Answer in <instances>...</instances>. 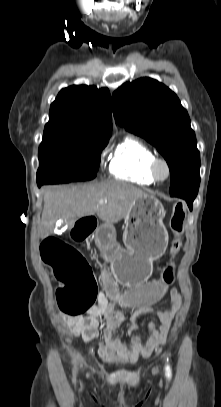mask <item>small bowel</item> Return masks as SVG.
Listing matches in <instances>:
<instances>
[{
  "label": "small bowel",
  "mask_w": 221,
  "mask_h": 407,
  "mask_svg": "<svg viewBox=\"0 0 221 407\" xmlns=\"http://www.w3.org/2000/svg\"><path fill=\"white\" fill-rule=\"evenodd\" d=\"M111 294H114V297H111ZM116 294H119V297H116ZM109 297H111V300H109ZM170 297V307L157 311L160 324L156 322L149 323L150 335L146 340H142L141 337L136 335L130 336L127 342L121 339L118 329L125 318L121 312L115 309V306L124 305V297L121 290L111 288L108 285H105L104 290L98 293L97 304L89 310L88 316H66L65 320L74 335L80 336L85 343H90L98 335L100 319H104L106 323L103 331L104 342L98 348L99 355L108 360L118 359L133 362L140 356L150 355L156 346L166 341L175 315L181 305V296L175 288L171 289ZM145 312L147 311H136L133 314L129 327L130 331L139 329L137 320Z\"/></svg>",
  "instance_id": "c3829d8e"
}]
</instances>
